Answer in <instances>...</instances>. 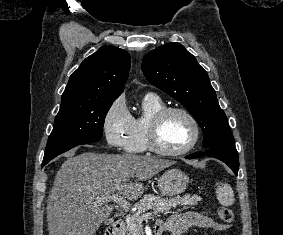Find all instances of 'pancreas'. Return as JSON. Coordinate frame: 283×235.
<instances>
[{
	"label": "pancreas",
	"instance_id": "1",
	"mask_svg": "<svg viewBox=\"0 0 283 235\" xmlns=\"http://www.w3.org/2000/svg\"><path fill=\"white\" fill-rule=\"evenodd\" d=\"M199 200L200 198L198 196H191L189 194L170 199H165L162 196H155L153 194H146L140 202L136 204L137 212L126 218V235H144L140 218L143 213L149 209H153L154 213L157 215L159 213L169 212L171 208H176L178 205H196Z\"/></svg>",
	"mask_w": 283,
	"mask_h": 235
}]
</instances>
